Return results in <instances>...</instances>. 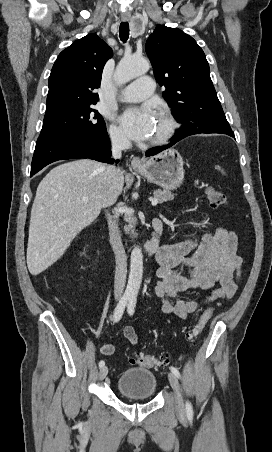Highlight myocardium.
<instances>
[{"instance_id":"myocardium-1","label":"myocardium","mask_w":272,"mask_h":452,"mask_svg":"<svg viewBox=\"0 0 272 452\" xmlns=\"http://www.w3.org/2000/svg\"><path fill=\"white\" fill-rule=\"evenodd\" d=\"M160 115L165 121L164 131L157 137L150 139V145H161L168 142L176 132L177 122L174 117L168 111H162Z\"/></svg>"}]
</instances>
